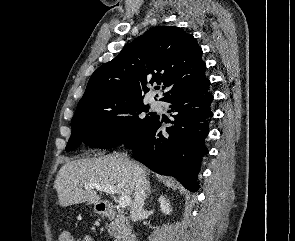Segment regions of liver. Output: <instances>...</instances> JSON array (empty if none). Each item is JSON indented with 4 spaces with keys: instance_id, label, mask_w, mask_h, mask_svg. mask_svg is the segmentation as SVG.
<instances>
[{
    "instance_id": "obj_1",
    "label": "liver",
    "mask_w": 295,
    "mask_h": 241,
    "mask_svg": "<svg viewBox=\"0 0 295 241\" xmlns=\"http://www.w3.org/2000/svg\"><path fill=\"white\" fill-rule=\"evenodd\" d=\"M133 165L139 166L145 172L141 165L120 154L67 161L60 168L54 182L60 206L102 202L101 195L97 194L94 188L83 189L86 184L115 186L119 195H133Z\"/></svg>"
}]
</instances>
